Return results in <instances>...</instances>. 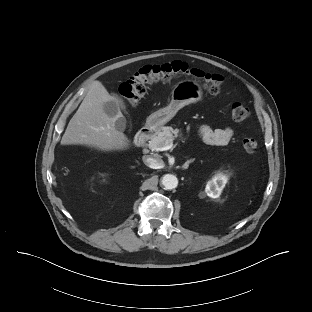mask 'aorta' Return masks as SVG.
Returning a JSON list of instances; mask_svg holds the SVG:
<instances>
[{"mask_svg":"<svg viewBox=\"0 0 312 312\" xmlns=\"http://www.w3.org/2000/svg\"><path fill=\"white\" fill-rule=\"evenodd\" d=\"M162 185L168 189V190H171V189H174L177 187L178 185V179L176 176L172 175V174H165L163 177H162Z\"/></svg>","mask_w":312,"mask_h":312,"instance_id":"762f6f07","label":"aorta"}]
</instances>
